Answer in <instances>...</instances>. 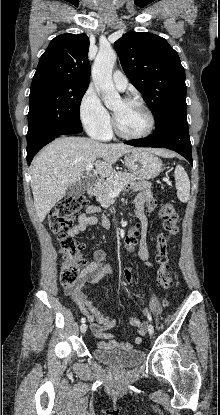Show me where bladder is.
<instances>
[{
	"label": "bladder",
	"instance_id": "bladder-1",
	"mask_svg": "<svg viewBox=\"0 0 220 415\" xmlns=\"http://www.w3.org/2000/svg\"><path fill=\"white\" fill-rule=\"evenodd\" d=\"M93 356L115 368H133L140 365L145 358L142 350L115 351L98 345L93 349Z\"/></svg>",
	"mask_w": 220,
	"mask_h": 415
}]
</instances>
